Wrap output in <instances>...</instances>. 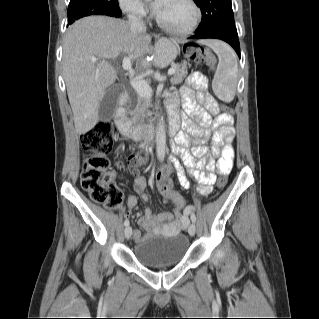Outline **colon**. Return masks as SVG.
Returning a JSON list of instances; mask_svg holds the SVG:
<instances>
[{"label":"colon","mask_w":319,"mask_h":319,"mask_svg":"<svg viewBox=\"0 0 319 319\" xmlns=\"http://www.w3.org/2000/svg\"><path fill=\"white\" fill-rule=\"evenodd\" d=\"M184 54L186 58L194 62H213L212 56L197 45L186 44ZM210 111L212 114H217L219 111L230 112L231 108L223 104L213 103L210 106ZM115 135L114 124L103 122L82 136V146L89 152L82 164V187L92 201L103 205L108 210H119L123 206V194L114 183L109 170V161L106 157L113 149ZM117 162L121 166L137 170L142 165L143 158L138 153H128L119 148L117 150ZM158 181L161 190L170 189L172 186L171 181L167 178H160ZM226 181V177L221 176L217 182L218 187L224 188ZM180 209L181 204H177L174 214H178Z\"/></svg>","instance_id":"obj_1"}]
</instances>
